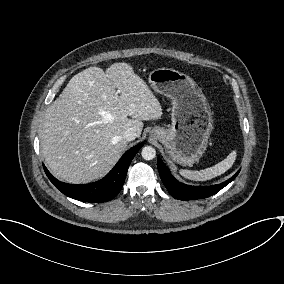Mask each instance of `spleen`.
I'll return each mask as SVG.
<instances>
[{
  "label": "spleen",
  "mask_w": 284,
  "mask_h": 284,
  "mask_svg": "<svg viewBox=\"0 0 284 284\" xmlns=\"http://www.w3.org/2000/svg\"><path fill=\"white\" fill-rule=\"evenodd\" d=\"M236 154V151L233 150L223 161L212 167L200 171L182 169L179 173L183 177L193 181L210 180L225 173L229 168H231L233 163L235 162L237 156Z\"/></svg>",
  "instance_id": "1"
}]
</instances>
